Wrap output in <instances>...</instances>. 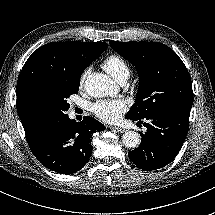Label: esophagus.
<instances>
[{
  "label": "esophagus",
  "mask_w": 215,
  "mask_h": 215,
  "mask_svg": "<svg viewBox=\"0 0 215 215\" xmlns=\"http://www.w3.org/2000/svg\"><path fill=\"white\" fill-rule=\"evenodd\" d=\"M110 129L115 130L118 133H123L125 131L123 127H119V126H110Z\"/></svg>",
  "instance_id": "34e87169"
}]
</instances>
